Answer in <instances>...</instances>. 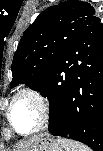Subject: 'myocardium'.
Listing matches in <instances>:
<instances>
[{"mask_svg":"<svg viewBox=\"0 0 103 151\" xmlns=\"http://www.w3.org/2000/svg\"><path fill=\"white\" fill-rule=\"evenodd\" d=\"M27 97L32 99L38 106L39 109V122L32 130L27 132H20L16 129L12 117L11 112L13 109L14 104L19 100L20 98ZM7 120L12 127V129L19 135L22 136H28L31 134H34L40 130H42L49 122L50 118V107L47 98L37 89L32 88H24L21 89L19 92H17L11 99L7 112H6Z\"/></svg>","mask_w":103,"mask_h":151,"instance_id":"f54148a6","label":"myocardium"}]
</instances>
